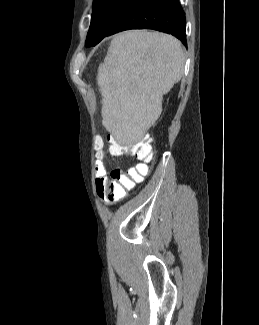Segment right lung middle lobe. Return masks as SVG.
<instances>
[{
  "label": "right lung middle lobe",
  "mask_w": 259,
  "mask_h": 325,
  "mask_svg": "<svg viewBox=\"0 0 259 325\" xmlns=\"http://www.w3.org/2000/svg\"><path fill=\"white\" fill-rule=\"evenodd\" d=\"M132 0H94L91 24L86 46L98 44L109 32L112 25Z\"/></svg>",
  "instance_id": "right-lung-middle-lobe-1"
}]
</instances>
